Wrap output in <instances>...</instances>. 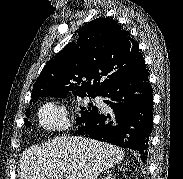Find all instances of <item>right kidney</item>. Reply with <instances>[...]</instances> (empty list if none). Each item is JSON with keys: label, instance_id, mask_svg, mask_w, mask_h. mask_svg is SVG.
Masks as SVG:
<instances>
[{"label": "right kidney", "instance_id": "ca27d5eb", "mask_svg": "<svg viewBox=\"0 0 183 179\" xmlns=\"http://www.w3.org/2000/svg\"><path fill=\"white\" fill-rule=\"evenodd\" d=\"M102 179H115V178H113L112 176H107V177H104Z\"/></svg>", "mask_w": 183, "mask_h": 179}]
</instances>
